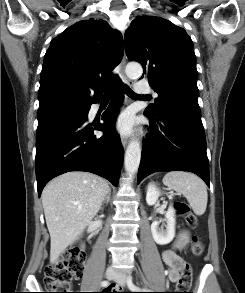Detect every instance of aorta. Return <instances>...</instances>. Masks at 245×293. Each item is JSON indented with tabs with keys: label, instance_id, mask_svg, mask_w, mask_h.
<instances>
[{
	"label": "aorta",
	"instance_id": "762f6f07",
	"mask_svg": "<svg viewBox=\"0 0 245 293\" xmlns=\"http://www.w3.org/2000/svg\"><path fill=\"white\" fill-rule=\"evenodd\" d=\"M128 77H139L142 75L143 69L139 63H129L125 69ZM141 159V146L138 140H132L125 153L124 165L126 172L132 176L134 175L139 167Z\"/></svg>",
	"mask_w": 245,
	"mask_h": 293
}]
</instances>
